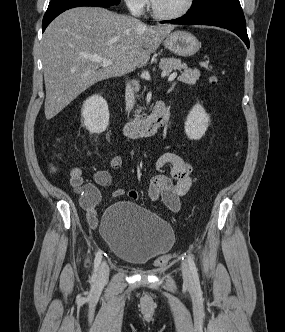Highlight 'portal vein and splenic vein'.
I'll list each match as a JSON object with an SVG mask.
<instances>
[{
    "instance_id": "portal-vein-and-splenic-vein-1",
    "label": "portal vein and splenic vein",
    "mask_w": 285,
    "mask_h": 332,
    "mask_svg": "<svg viewBox=\"0 0 285 332\" xmlns=\"http://www.w3.org/2000/svg\"><path fill=\"white\" fill-rule=\"evenodd\" d=\"M85 58L91 60V61H94V62H97V63H100L101 66L103 67H107L109 65L112 64V61L111 60H107V59H103L101 57H98V56H85ZM166 75V73H162V76L164 77ZM177 77V72H173L169 78H168V81H172L173 79H175Z\"/></svg>"
}]
</instances>
